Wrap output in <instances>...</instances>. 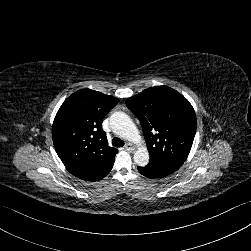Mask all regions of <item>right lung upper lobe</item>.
Instances as JSON below:
<instances>
[{
	"label": "right lung upper lobe",
	"mask_w": 251,
	"mask_h": 251,
	"mask_svg": "<svg viewBox=\"0 0 251 251\" xmlns=\"http://www.w3.org/2000/svg\"><path fill=\"white\" fill-rule=\"evenodd\" d=\"M118 102L113 96L82 89L58 110L52 126L54 147L67 170L79 179L98 181L111 171L118 150L108 146L102 121Z\"/></svg>",
	"instance_id": "cb5924a9"
}]
</instances>
